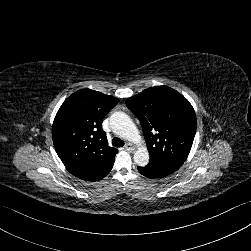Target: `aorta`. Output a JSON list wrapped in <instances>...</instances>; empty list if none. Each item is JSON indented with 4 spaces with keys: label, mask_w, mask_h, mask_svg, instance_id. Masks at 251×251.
<instances>
[{
    "label": "aorta",
    "mask_w": 251,
    "mask_h": 251,
    "mask_svg": "<svg viewBox=\"0 0 251 251\" xmlns=\"http://www.w3.org/2000/svg\"><path fill=\"white\" fill-rule=\"evenodd\" d=\"M110 127L120 138L132 142L137 147L133 157L135 164L139 166L147 165L149 152L141 132L132 119L123 112H116L110 118Z\"/></svg>",
    "instance_id": "762f6f07"
}]
</instances>
